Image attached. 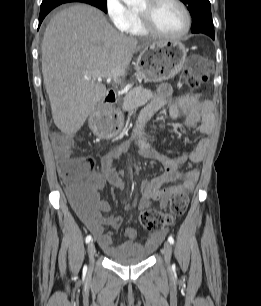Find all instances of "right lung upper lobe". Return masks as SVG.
Listing matches in <instances>:
<instances>
[{
    "mask_svg": "<svg viewBox=\"0 0 261 306\" xmlns=\"http://www.w3.org/2000/svg\"><path fill=\"white\" fill-rule=\"evenodd\" d=\"M64 1H69V2H83V0H64ZM68 3V2H67ZM84 3V2H83Z\"/></svg>",
    "mask_w": 261,
    "mask_h": 306,
    "instance_id": "cb5924a9",
    "label": "right lung upper lobe"
}]
</instances>
